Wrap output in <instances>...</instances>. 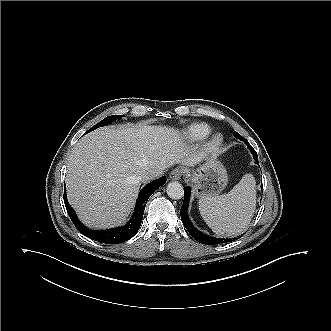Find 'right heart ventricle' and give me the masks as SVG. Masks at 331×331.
I'll use <instances>...</instances> for the list:
<instances>
[{
    "label": "right heart ventricle",
    "instance_id": "right-heart-ventricle-1",
    "mask_svg": "<svg viewBox=\"0 0 331 331\" xmlns=\"http://www.w3.org/2000/svg\"><path fill=\"white\" fill-rule=\"evenodd\" d=\"M211 132V128L205 123H193L186 127L185 137L190 142H200Z\"/></svg>",
    "mask_w": 331,
    "mask_h": 331
}]
</instances>
